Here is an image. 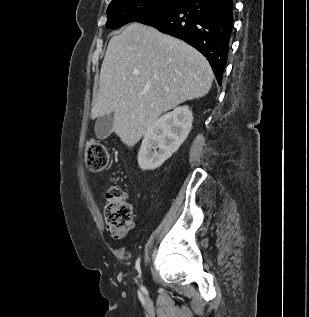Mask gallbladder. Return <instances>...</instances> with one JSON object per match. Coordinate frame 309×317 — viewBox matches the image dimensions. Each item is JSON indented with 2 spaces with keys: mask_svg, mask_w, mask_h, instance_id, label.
Returning a JSON list of instances; mask_svg holds the SVG:
<instances>
[{
  "mask_svg": "<svg viewBox=\"0 0 309 317\" xmlns=\"http://www.w3.org/2000/svg\"><path fill=\"white\" fill-rule=\"evenodd\" d=\"M113 113L103 115L97 118L95 123V134L98 139H105L112 133Z\"/></svg>",
  "mask_w": 309,
  "mask_h": 317,
  "instance_id": "bac80fb5",
  "label": "gallbladder"
}]
</instances>
